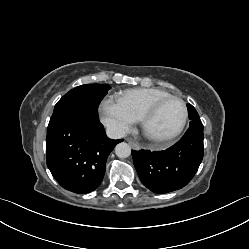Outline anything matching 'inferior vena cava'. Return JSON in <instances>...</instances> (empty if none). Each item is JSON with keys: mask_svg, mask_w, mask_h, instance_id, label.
<instances>
[{"mask_svg": "<svg viewBox=\"0 0 249 249\" xmlns=\"http://www.w3.org/2000/svg\"><path fill=\"white\" fill-rule=\"evenodd\" d=\"M106 134L110 139H120L126 135V132L119 126L109 125L106 128Z\"/></svg>", "mask_w": 249, "mask_h": 249, "instance_id": "602c4592", "label": "inferior vena cava"}]
</instances>
